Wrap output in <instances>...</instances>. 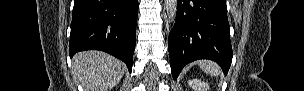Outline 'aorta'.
<instances>
[{
  "instance_id": "obj_1",
  "label": "aorta",
  "mask_w": 304,
  "mask_h": 91,
  "mask_svg": "<svg viewBox=\"0 0 304 91\" xmlns=\"http://www.w3.org/2000/svg\"><path fill=\"white\" fill-rule=\"evenodd\" d=\"M177 0H165L166 12L170 22H174L177 15Z\"/></svg>"
}]
</instances>
